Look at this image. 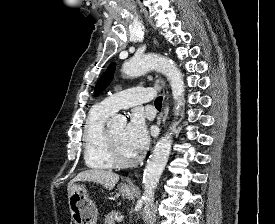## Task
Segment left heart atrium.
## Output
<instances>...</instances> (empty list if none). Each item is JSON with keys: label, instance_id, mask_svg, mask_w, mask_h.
<instances>
[{"label": "left heart atrium", "instance_id": "obj_1", "mask_svg": "<svg viewBox=\"0 0 275 224\" xmlns=\"http://www.w3.org/2000/svg\"><path fill=\"white\" fill-rule=\"evenodd\" d=\"M124 143L135 154L144 150L149 142L147 128L143 118L134 114L124 129Z\"/></svg>", "mask_w": 275, "mask_h": 224}]
</instances>
